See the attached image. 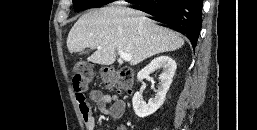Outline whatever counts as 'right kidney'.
<instances>
[{"label": "right kidney", "instance_id": "right-kidney-1", "mask_svg": "<svg viewBox=\"0 0 257 130\" xmlns=\"http://www.w3.org/2000/svg\"><path fill=\"white\" fill-rule=\"evenodd\" d=\"M161 68L163 72L159 76L160 86L158 87L157 94L151 98L146 104L142 98V91H137L132 99L133 109L138 117L144 118L156 112L164 103L166 93L170 88L173 76L175 74L177 64L169 56H160L153 59L144 69L139 71L137 75L138 81H142L149 77V75Z\"/></svg>", "mask_w": 257, "mask_h": 130}]
</instances>
